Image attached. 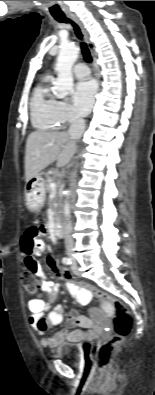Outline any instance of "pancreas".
<instances>
[{"mask_svg": "<svg viewBox=\"0 0 155 395\" xmlns=\"http://www.w3.org/2000/svg\"><path fill=\"white\" fill-rule=\"evenodd\" d=\"M46 181H45V189L47 192H50V183L53 181V178L49 175V173L45 174Z\"/></svg>", "mask_w": 155, "mask_h": 395, "instance_id": "obj_1", "label": "pancreas"}]
</instances>
